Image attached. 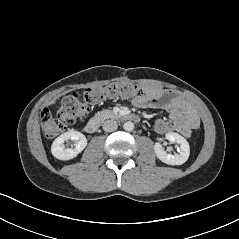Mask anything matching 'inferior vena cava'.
<instances>
[{
  "mask_svg": "<svg viewBox=\"0 0 239 239\" xmlns=\"http://www.w3.org/2000/svg\"><path fill=\"white\" fill-rule=\"evenodd\" d=\"M118 128L117 122L114 120H106L103 123V130L105 132H113Z\"/></svg>",
  "mask_w": 239,
  "mask_h": 239,
  "instance_id": "inferior-vena-cava-1",
  "label": "inferior vena cava"
}]
</instances>
